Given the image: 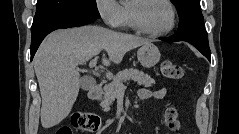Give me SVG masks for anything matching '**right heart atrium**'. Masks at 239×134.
<instances>
[{
	"label": "right heart atrium",
	"mask_w": 239,
	"mask_h": 134,
	"mask_svg": "<svg viewBox=\"0 0 239 134\" xmlns=\"http://www.w3.org/2000/svg\"><path fill=\"white\" fill-rule=\"evenodd\" d=\"M96 9L103 22L112 28L122 25L123 9L116 0H97Z\"/></svg>",
	"instance_id": "d8ad5b80"
}]
</instances>
